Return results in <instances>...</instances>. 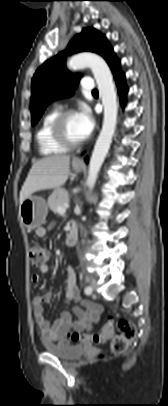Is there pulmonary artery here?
I'll return each mask as SVG.
<instances>
[{"label":"pulmonary artery","instance_id":"e3ab8cb5","mask_svg":"<svg viewBox=\"0 0 168 406\" xmlns=\"http://www.w3.org/2000/svg\"><path fill=\"white\" fill-rule=\"evenodd\" d=\"M82 88L87 91L94 89V81L90 77H85L82 79Z\"/></svg>","mask_w":168,"mask_h":406}]
</instances>
